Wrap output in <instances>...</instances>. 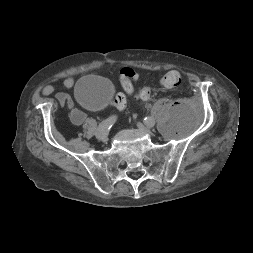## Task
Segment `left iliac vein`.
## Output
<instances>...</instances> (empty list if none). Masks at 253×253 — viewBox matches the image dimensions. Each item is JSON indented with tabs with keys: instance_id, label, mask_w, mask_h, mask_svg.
<instances>
[{
	"instance_id": "left-iliac-vein-1",
	"label": "left iliac vein",
	"mask_w": 253,
	"mask_h": 253,
	"mask_svg": "<svg viewBox=\"0 0 253 253\" xmlns=\"http://www.w3.org/2000/svg\"><path fill=\"white\" fill-rule=\"evenodd\" d=\"M137 127L139 128V129H142V130H144L145 132H147V133H151V130H150V126H148V125H144V124H142V123H137Z\"/></svg>"
}]
</instances>
